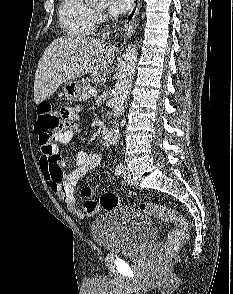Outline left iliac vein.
I'll use <instances>...</instances> for the list:
<instances>
[{
  "instance_id": "obj_1",
  "label": "left iliac vein",
  "mask_w": 233,
  "mask_h": 294,
  "mask_svg": "<svg viewBox=\"0 0 233 294\" xmlns=\"http://www.w3.org/2000/svg\"><path fill=\"white\" fill-rule=\"evenodd\" d=\"M123 178L128 184L134 185L133 180L131 178L130 170L127 167L123 168Z\"/></svg>"
}]
</instances>
